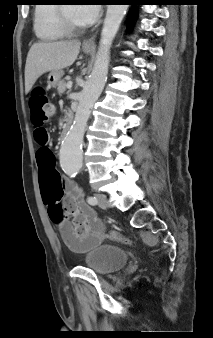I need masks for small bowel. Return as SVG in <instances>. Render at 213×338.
<instances>
[{"mask_svg":"<svg viewBox=\"0 0 213 338\" xmlns=\"http://www.w3.org/2000/svg\"><path fill=\"white\" fill-rule=\"evenodd\" d=\"M46 157L43 161L44 168L39 172V183L45 204L52 206L53 198L63 186L67 196L64 211L72 221H61L59 231L65 245L75 253H85L101 244L105 239L104 227L97 218L95 211L82 199L81 189L68 179H62L56 169V161L51 156L49 149L45 148ZM47 171L50 181L43 177Z\"/></svg>","mask_w":213,"mask_h":338,"instance_id":"c3829d8e","label":"small bowel"}]
</instances>
